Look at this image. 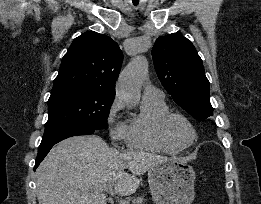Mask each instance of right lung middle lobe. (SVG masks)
Listing matches in <instances>:
<instances>
[{"instance_id": "obj_1", "label": "right lung middle lobe", "mask_w": 261, "mask_h": 204, "mask_svg": "<svg viewBox=\"0 0 261 204\" xmlns=\"http://www.w3.org/2000/svg\"><path fill=\"white\" fill-rule=\"evenodd\" d=\"M114 95L94 90H68L52 94L43 136L75 129H103Z\"/></svg>"}]
</instances>
